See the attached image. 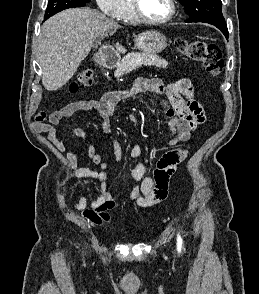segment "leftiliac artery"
<instances>
[{"label": "left iliac artery", "instance_id": "obj_1", "mask_svg": "<svg viewBox=\"0 0 259 294\" xmlns=\"http://www.w3.org/2000/svg\"><path fill=\"white\" fill-rule=\"evenodd\" d=\"M177 249H178V252H180L183 249V240L181 236L179 235V233L177 234Z\"/></svg>", "mask_w": 259, "mask_h": 294}]
</instances>
